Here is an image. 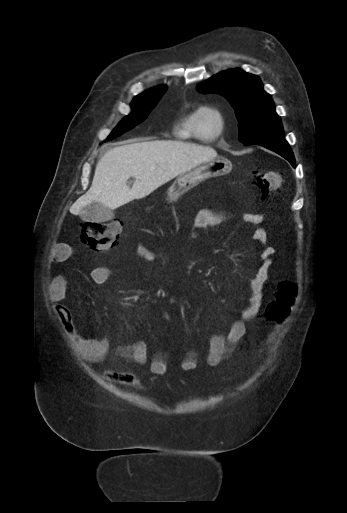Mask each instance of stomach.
I'll return each mask as SVG.
<instances>
[{
    "label": "stomach",
    "mask_w": 347,
    "mask_h": 513,
    "mask_svg": "<svg viewBox=\"0 0 347 513\" xmlns=\"http://www.w3.org/2000/svg\"><path fill=\"white\" fill-rule=\"evenodd\" d=\"M232 169L231 162L224 157H217L203 162L194 168L178 175L169 192V200L182 192H186L205 179L228 173Z\"/></svg>",
    "instance_id": "1"
}]
</instances>
